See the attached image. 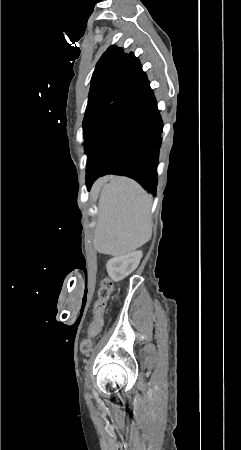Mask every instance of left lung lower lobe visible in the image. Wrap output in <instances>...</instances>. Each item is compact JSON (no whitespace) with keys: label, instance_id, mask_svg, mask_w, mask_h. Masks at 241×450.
Returning a JSON list of instances; mask_svg holds the SVG:
<instances>
[{"label":"left lung lower lobe","instance_id":"obj_1","mask_svg":"<svg viewBox=\"0 0 241 450\" xmlns=\"http://www.w3.org/2000/svg\"><path fill=\"white\" fill-rule=\"evenodd\" d=\"M162 119L140 61L132 54L123 86L85 139L86 185L106 174L128 176L156 195Z\"/></svg>","mask_w":241,"mask_h":450}]
</instances>
